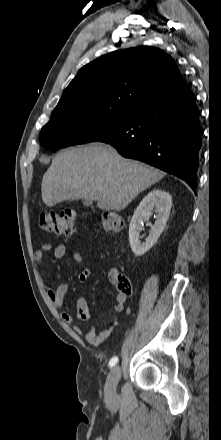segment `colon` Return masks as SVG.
Returning a JSON list of instances; mask_svg holds the SVG:
<instances>
[{"label": "colon", "mask_w": 221, "mask_h": 440, "mask_svg": "<svg viewBox=\"0 0 221 440\" xmlns=\"http://www.w3.org/2000/svg\"><path fill=\"white\" fill-rule=\"evenodd\" d=\"M77 212L74 209L66 208L59 212L45 211L40 214L39 225L41 229L49 233L71 236L76 232ZM102 227L107 232L117 233L122 231L124 223L122 218L115 212L108 211L103 214ZM118 294L129 297L132 294L130 279L118 274L114 278Z\"/></svg>", "instance_id": "1"}]
</instances>
